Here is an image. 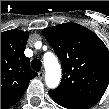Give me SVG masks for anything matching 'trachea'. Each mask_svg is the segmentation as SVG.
I'll return each mask as SVG.
<instances>
[{
    "instance_id": "obj_1",
    "label": "trachea",
    "mask_w": 109,
    "mask_h": 109,
    "mask_svg": "<svg viewBox=\"0 0 109 109\" xmlns=\"http://www.w3.org/2000/svg\"><path fill=\"white\" fill-rule=\"evenodd\" d=\"M41 66H42V62L39 59L32 60L31 67L34 71L36 72L40 71Z\"/></svg>"
}]
</instances>
